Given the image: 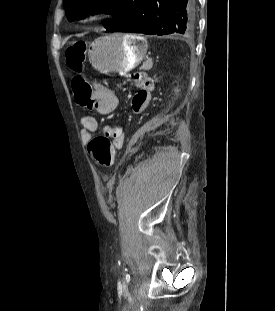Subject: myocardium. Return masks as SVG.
<instances>
[{
    "label": "myocardium",
    "mask_w": 275,
    "mask_h": 311,
    "mask_svg": "<svg viewBox=\"0 0 275 311\" xmlns=\"http://www.w3.org/2000/svg\"><path fill=\"white\" fill-rule=\"evenodd\" d=\"M106 15H107L106 10H104L102 8L91 9L87 14L89 19H91L93 21L102 20L106 17Z\"/></svg>",
    "instance_id": "1"
}]
</instances>
